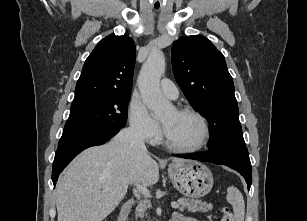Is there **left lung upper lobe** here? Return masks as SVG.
Listing matches in <instances>:
<instances>
[{"label": "left lung upper lobe", "instance_id": "obj_1", "mask_svg": "<svg viewBox=\"0 0 307 221\" xmlns=\"http://www.w3.org/2000/svg\"><path fill=\"white\" fill-rule=\"evenodd\" d=\"M173 73L190 105L209 122V149L248 155L234 83L223 54L204 36L180 37L171 50Z\"/></svg>", "mask_w": 307, "mask_h": 221}]
</instances>
